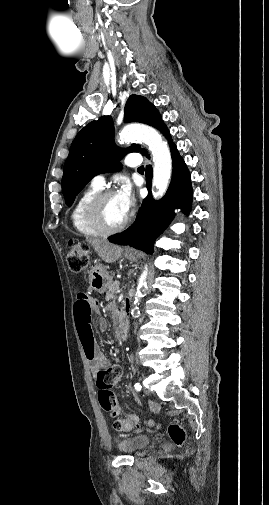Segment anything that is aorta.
Listing matches in <instances>:
<instances>
[{
	"mask_svg": "<svg viewBox=\"0 0 269 505\" xmlns=\"http://www.w3.org/2000/svg\"><path fill=\"white\" fill-rule=\"evenodd\" d=\"M140 141L148 146L153 156V196L160 199L166 192L171 177L172 160L169 147L161 135L152 127L146 125H128L119 133V142ZM148 268L145 266L135 293L134 305H139L144 292Z\"/></svg>",
	"mask_w": 269,
	"mask_h": 505,
	"instance_id": "obj_1",
	"label": "aorta"
}]
</instances>
